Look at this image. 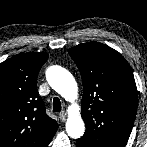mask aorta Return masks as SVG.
I'll list each match as a JSON object with an SVG mask.
<instances>
[{
    "mask_svg": "<svg viewBox=\"0 0 147 147\" xmlns=\"http://www.w3.org/2000/svg\"><path fill=\"white\" fill-rule=\"evenodd\" d=\"M49 85L67 101L73 102L77 98V84L72 74L60 66H52L46 72ZM79 107L72 104L68 108L66 132L71 138H80L85 132V124L80 116Z\"/></svg>",
    "mask_w": 147,
    "mask_h": 147,
    "instance_id": "aorta-1",
    "label": "aorta"
}]
</instances>
